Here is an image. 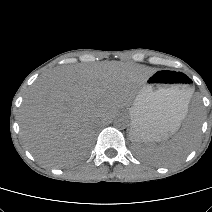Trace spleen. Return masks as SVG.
Segmentation results:
<instances>
[{"mask_svg": "<svg viewBox=\"0 0 212 212\" xmlns=\"http://www.w3.org/2000/svg\"><path fill=\"white\" fill-rule=\"evenodd\" d=\"M188 112V106L185 108L184 118ZM199 134V124L190 126L186 124L181 131L167 142L159 145H141L135 144L136 154L145 161L157 166L172 165L182 161L193 148L195 139Z\"/></svg>", "mask_w": 212, "mask_h": 212, "instance_id": "spleen-1", "label": "spleen"}]
</instances>
